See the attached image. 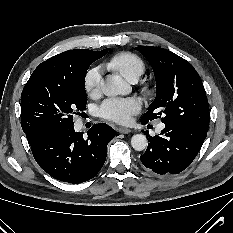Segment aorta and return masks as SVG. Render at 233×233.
Segmentation results:
<instances>
[{
  "label": "aorta",
  "instance_id": "1",
  "mask_svg": "<svg viewBox=\"0 0 233 233\" xmlns=\"http://www.w3.org/2000/svg\"><path fill=\"white\" fill-rule=\"evenodd\" d=\"M101 88L106 96H116L119 94H127L130 91L127 83L118 76H108L101 83ZM148 145L147 138L144 134H136L131 138V146L136 151L144 150Z\"/></svg>",
  "mask_w": 233,
  "mask_h": 233
}]
</instances>
